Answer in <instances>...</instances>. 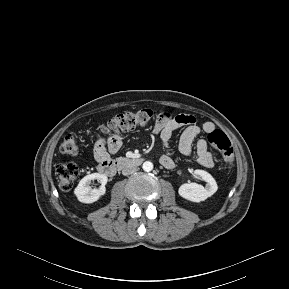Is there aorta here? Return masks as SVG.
Wrapping results in <instances>:
<instances>
[{"label": "aorta", "mask_w": 289, "mask_h": 289, "mask_svg": "<svg viewBox=\"0 0 289 289\" xmlns=\"http://www.w3.org/2000/svg\"><path fill=\"white\" fill-rule=\"evenodd\" d=\"M143 170L146 172H150L153 169V163L150 161H145L142 166Z\"/></svg>", "instance_id": "762f6f07"}]
</instances>
